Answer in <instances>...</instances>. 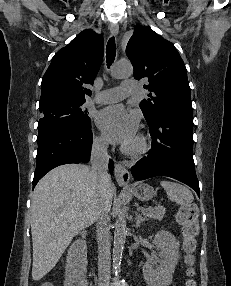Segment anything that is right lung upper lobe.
I'll return each mask as SVG.
<instances>
[{
	"instance_id": "right-lung-upper-lobe-1",
	"label": "right lung upper lobe",
	"mask_w": 231,
	"mask_h": 286,
	"mask_svg": "<svg viewBox=\"0 0 231 286\" xmlns=\"http://www.w3.org/2000/svg\"><path fill=\"white\" fill-rule=\"evenodd\" d=\"M101 35L87 29L78 34L52 58L42 79L39 106L57 101H85L103 59Z\"/></svg>"
}]
</instances>
